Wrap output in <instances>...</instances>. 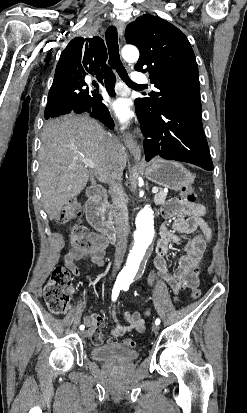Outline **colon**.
Segmentation results:
<instances>
[{"mask_svg": "<svg viewBox=\"0 0 247 413\" xmlns=\"http://www.w3.org/2000/svg\"><path fill=\"white\" fill-rule=\"evenodd\" d=\"M181 202H184L186 207L193 205L194 194L190 189H184L178 197ZM80 218V203L71 201L67 203L57 215V222L60 224H67L70 221ZM72 240L76 247L89 249L91 247L97 248L99 237L89 230L86 226L79 225L71 228ZM101 244V243H99ZM71 272L68 268L58 267L54 269L51 277L46 282L43 288V297L49 310L54 314L67 312L71 309ZM201 296L199 293H192L193 299H198ZM123 344L127 347L134 346V341L125 339Z\"/></svg>", "mask_w": 247, "mask_h": 413, "instance_id": "colon-1", "label": "colon"}]
</instances>
